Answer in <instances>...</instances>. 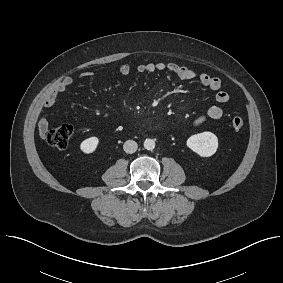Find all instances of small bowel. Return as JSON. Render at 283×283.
I'll use <instances>...</instances> for the list:
<instances>
[{
    "label": "small bowel",
    "mask_w": 283,
    "mask_h": 283,
    "mask_svg": "<svg viewBox=\"0 0 283 283\" xmlns=\"http://www.w3.org/2000/svg\"><path fill=\"white\" fill-rule=\"evenodd\" d=\"M132 71H135L139 74H150L154 72H164L168 71L182 80L192 81L198 80V82L208 88L209 90L215 92V100L218 105L210 106L206 112L202 115L197 116L192 125L194 127L201 126L208 119L217 120L223 116V109L220 105H224L229 101V94L222 90V84L219 78L210 76L208 74L202 73L197 74L194 70L180 65L174 62L164 63V62H156V63H144L139 64L135 67H131L130 65H121L118 68V73L122 75H128ZM93 74L91 72H83L81 74V78L88 79L91 78ZM73 80L70 77H66L55 89L52 91L46 100L43 103L41 113L38 120V128L40 133L44 134L49 127V121L45 116V111L51 108L58 97L64 95L66 90L72 85Z\"/></svg>",
    "instance_id": "1"
}]
</instances>
